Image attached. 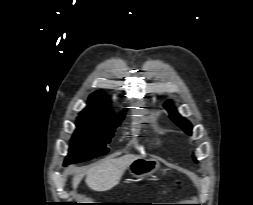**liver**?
Instances as JSON below:
<instances>
[{
  "label": "liver",
  "mask_w": 253,
  "mask_h": 205,
  "mask_svg": "<svg viewBox=\"0 0 253 205\" xmlns=\"http://www.w3.org/2000/svg\"><path fill=\"white\" fill-rule=\"evenodd\" d=\"M136 158V155L129 154L101 162L86 171V184L95 191H104L111 188ZM82 178L83 174H76L73 177L72 185L74 189L77 188Z\"/></svg>",
  "instance_id": "6515ba94"
}]
</instances>
